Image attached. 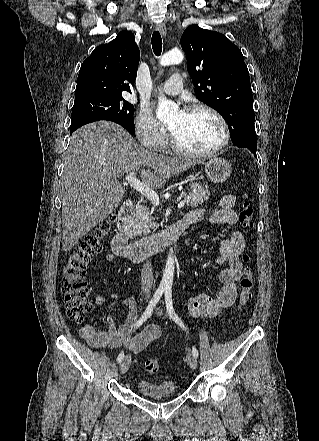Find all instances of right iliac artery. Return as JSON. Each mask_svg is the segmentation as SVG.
Wrapping results in <instances>:
<instances>
[{
    "instance_id": "82829eb1",
    "label": "right iliac artery",
    "mask_w": 319,
    "mask_h": 441,
    "mask_svg": "<svg viewBox=\"0 0 319 441\" xmlns=\"http://www.w3.org/2000/svg\"><path fill=\"white\" fill-rule=\"evenodd\" d=\"M163 292H164V290H162V289H158L155 292V294L153 295V298L151 299V301H150L149 305L147 306L146 310L144 311L143 315L135 323L134 329L141 326L151 316L153 309L155 308L156 304L160 300ZM123 358H124V352L122 351L117 357L118 363L121 362L123 360Z\"/></svg>"
}]
</instances>
